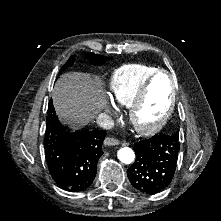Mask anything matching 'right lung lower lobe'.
Here are the masks:
<instances>
[{
	"instance_id": "right-lung-lower-lobe-1",
	"label": "right lung lower lobe",
	"mask_w": 221,
	"mask_h": 221,
	"mask_svg": "<svg viewBox=\"0 0 221 221\" xmlns=\"http://www.w3.org/2000/svg\"><path fill=\"white\" fill-rule=\"evenodd\" d=\"M47 114L44 149L49 172L61 188L83 191L96 176L106 132L83 130L71 133L58 120L51 100Z\"/></svg>"
}]
</instances>
